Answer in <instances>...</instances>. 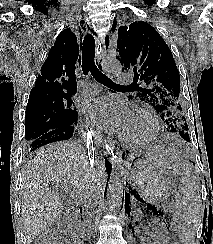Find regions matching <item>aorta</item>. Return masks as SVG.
Returning a JSON list of instances; mask_svg holds the SVG:
<instances>
[{
	"label": "aorta",
	"instance_id": "aorta-1",
	"mask_svg": "<svg viewBox=\"0 0 213 244\" xmlns=\"http://www.w3.org/2000/svg\"><path fill=\"white\" fill-rule=\"evenodd\" d=\"M102 67L106 72L114 75L120 74L122 70L120 62L113 57L106 58ZM124 187L123 159L121 153H117L113 161L108 185V205L113 212H118L122 206Z\"/></svg>",
	"mask_w": 213,
	"mask_h": 244
}]
</instances>
